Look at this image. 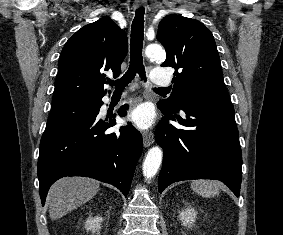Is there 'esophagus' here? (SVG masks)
<instances>
[{
  "label": "esophagus",
  "mask_w": 283,
  "mask_h": 235,
  "mask_svg": "<svg viewBox=\"0 0 283 235\" xmlns=\"http://www.w3.org/2000/svg\"><path fill=\"white\" fill-rule=\"evenodd\" d=\"M143 5V2L137 1L135 2V7L139 8ZM154 142V134L149 131L143 132V144L145 147H149Z\"/></svg>",
  "instance_id": "esophagus-1"
}]
</instances>
